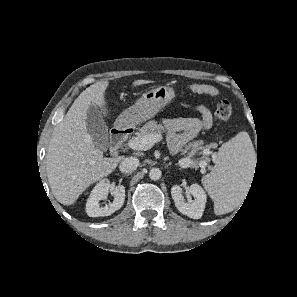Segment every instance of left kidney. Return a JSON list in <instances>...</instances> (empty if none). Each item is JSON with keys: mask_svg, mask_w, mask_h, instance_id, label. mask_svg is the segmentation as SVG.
Instances as JSON below:
<instances>
[{"mask_svg": "<svg viewBox=\"0 0 297 297\" xmlns=\"http://www.w3.org/2000/svg\"><path fill=\"white\" fill-rule=\"evenodd\" d=\"M189 192L194 196V201L185 202L182 194V188L174 185L171 189L172 199L179 212L193 219H199L203 215L207 195L204 189L198 184H192Z\"/></svg>", "mask_w": 297, "mask_h": 297, "instance_id": "5707ae66", "label": "left kidney"}]
</instances>
